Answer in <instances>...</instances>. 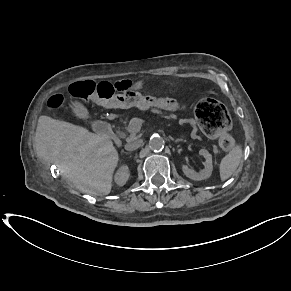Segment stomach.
Returning a JSON list of instances; mask_svg holds the SVG:
<instances>
[{
  "label": "stomach",
  "instance_id": "1",
  "mask_svg": "<svg viewBox=\"0 0 291 291\" xmlns=\"http://www.w3.org/2000/svg\"><path fill=\"white\" fill-rule=\"evenodd\" d=\"M73 109H74L75 113H77V114H81L84 111L82 105L80 103H77V102L74 103Z\"/></svg>",
  "mask_w": 291,
  "mask_h": 291
}]
</instances>
